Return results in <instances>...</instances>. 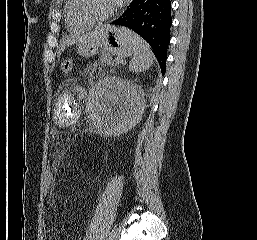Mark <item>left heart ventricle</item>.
<instances>
[{
  "label": "left heart ventricle",
  "mask_w": 257,
  "mask_h": 240,
  "mask_svg": "<svg viewBox=\"0 0 257 240\" xmlns=\"http://www.w3.org/2000/svg\"><path fill=\"white\" fill-rule=\"evenodd\" d=\"M114 7L113 0H88V8L98 16L108 14Z\"/></svg>",
  "instance_id": "left-heart-ventricle-1"
}]
</instances>
